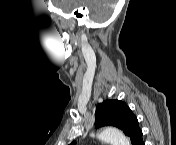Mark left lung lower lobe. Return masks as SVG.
Wrapping results in <instances>:
<instances>
[{"label":"left lung lower lobe","mask_w":176,"mask_h":145,"mask_svg":"<svg viewBox=\"0 0 176 145\" xmlns=\"http://www.w3.org/2000/svg\"><path fill=\"white\" fill-rule=\"evenodd\" d=\"M132 144L133 145H144L143 139H142V133L138 135V137L135 139V141Z\"/></svg>","instance_id":"1"}]
</instances>
